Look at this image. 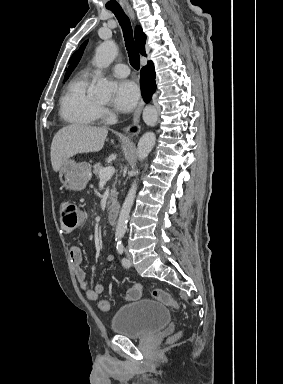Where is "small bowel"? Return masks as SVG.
<instances>
[{"instance_id": "1", "label": "small bowel", "mask_w": 283, "mask_h": 384, "mask_svg": "<svg viewBox=\"0 0 283 384\" xmlns=\"http://www.w3.org/2000/svg\"><path fill=\"white\" fill-rule=\"evenodd\" d=\"M69 257L74 267L75 277L82 291L84 292L85 297L90 301H97L101 293L104 291V286L102 284H97L92 288L88 286L86 273L81 268V263L83 261V254L81 248L78 246L70 247ZM106 260L109 263H113L115 261V258L113 255H108Z\"/></svg>"}]
</instances>
